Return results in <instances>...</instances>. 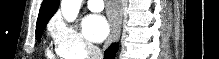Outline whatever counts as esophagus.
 <instances>
[{
  "mask_svg": "<svg viewBox=\"0 0 219 59\" xmlns=\"http://www.w3.org/2000/svg\"><path fill=\"white\" fill-rule=\"evenodd\" d=\"M115 7H116L117 11L120 10V8H121L120 0L115 1ZM120 30H121V26H120L119 21L111 24V32H110V35H109L105 44L109 45L111 43L116 42L120 37Z\"/></svg>",
  "mask_w": 219,
  "mask_h": 59,
  "instance_id": "obj_1",
  "label": "esophagus"
}]
</instances>
